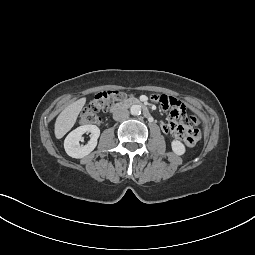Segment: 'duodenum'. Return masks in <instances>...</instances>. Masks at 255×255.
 I'll return each instance as SVG.
<instances>
[{"label":"duodenum","mask_w":255,"mask_h":255,"mask_svg":"<svg viewBox=\"0 0 255 255\" xmlns=\"http://www.w3.org/2000/svg\"><path fill=\"white\" fill-rule=\"evenodd\" d=\"M131 106H141L143 108L145 116L148 118L151 117L150 111H149L148 107L146 106V104L142 100H140L136 97H128V98H125V99L113 104L109 110V113L113 114L119 110L131 107Z\"/></svg>","instance_id":"obj_1"}]
</instances>
